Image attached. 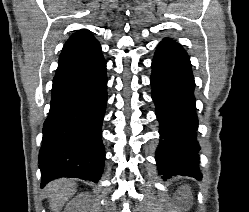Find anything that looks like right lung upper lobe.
<instances>
[{
    "instance_id": "right-lung-upper-lobe-1",
    "label": "right lung upper lobe",
    "mask_w": 249,
    "mask_h": 212,
    "mask_svg": "<svg viewBox=\"0 0 249 212\" xmlns=\"http://www.w3.org/2000/svg\"><path fill=\"white\" fill-rule=\"evenodd\" d=\"M101 47L89 30H79L65 43L56 74L83 66L101 55Z\"/></svg>"
}]
</instances>
